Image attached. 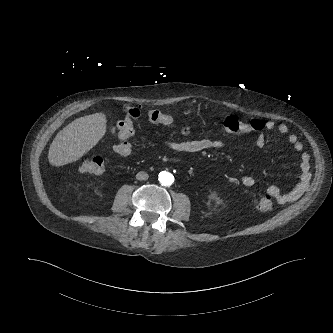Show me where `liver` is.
Returning <instances> with one entry per match:
<instances>
[{"label": "liver", "mask_w": 333, "mask_h": 333, "mask_svg": "<svg viewBox=\"0 0 333 333\" xmlns=\"http://www.w3.org/2000/svg\"><path fill=\"white\" fill-rule=\"evenodd\" d=\"M106 124L107 118L102 112L72 121L52 141L48 151L49 163L63 166L79 160L102 139Z\"/></svg>", "instance_id": "liver-1"}]
</instances>
